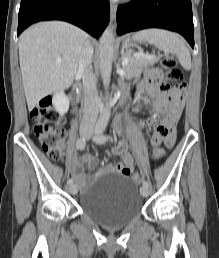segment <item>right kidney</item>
<instances>
[{
  "mask_svg": "<svg viewBox=\"0 0 219 258\" xmlns=\"http://www.w3.org/2000/svg\"><path fill=\"white\" fill-rule=\"evenodd\" d=\"M52 103L55 110L60 114L64 115L69 110V99L66 97L63 91H58L52 99Z\"/></svg>",
  "mask_w": 219,
  "mask_h": 258,
  "instance_id": "ca27d5eb",
  "label": "right kidney"
}]
</instances>
